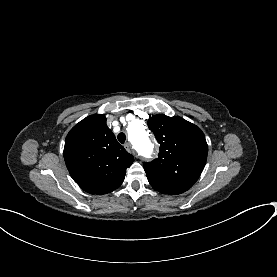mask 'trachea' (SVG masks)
I'll return each mask as SVG.
<instances>
[{"instance_id":"1","label":"trachea","mask_w":277,"mask_h":277,"mask_svg":"<svg viewBox=\"0 0 277 277\" xmlns=\"http://www.w3.org/2000/svg\"><path fill=\"white\" fill-rule=\"evenodd\" d=\"M118 140L120 143L124 144L125 143V140H126V136L124 133H119L118 136H117Z\"/></svg>"}]
</instances>
